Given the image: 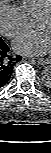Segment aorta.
Here are the masks:
<instances>
[{
	"mask_svg": "<svg viewBox=\"0 0 51 153\" xmlns=\"http://www.w3.org/2000/svg\"><path fill=\"white\" fill-rule=\"evenodd\" d=\"M42 81L47 86L51 84V69L50 68H46L42 72Z\"/></svg>",
	"mask_w": 51,
	"mask_h": 153,
	"instance_id": "762f6f07",
	"label": "aorta"
}]
</instances>
